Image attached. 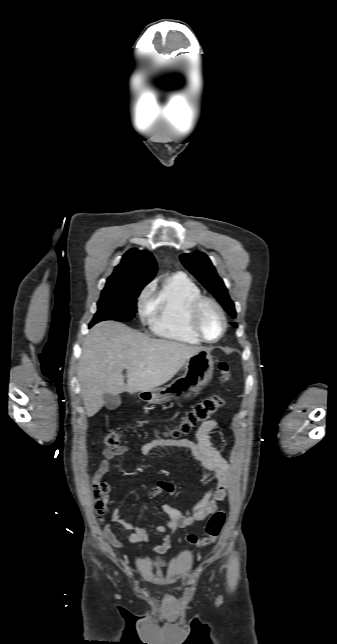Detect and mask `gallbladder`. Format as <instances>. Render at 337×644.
Returning a JSON list of instances; mask_svg holds the SVG:
<instances>
[{"mask_svg":"<svg viewBox=\"0 0 337 644\" xmlns=\"http://www.w3.org/2000/svg\"><path fill=\"white\" fill-rule=\"evenodd\" d=\"M103 399H104V405L108 410H115L121 404V399L118 395H111L109 393H105L103 396Z\"/></svg>","mask_w":337,"mask_h":644,"instance_id":"bac80fb5","label":"gallbladder"}]
</instances>
